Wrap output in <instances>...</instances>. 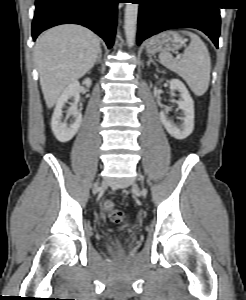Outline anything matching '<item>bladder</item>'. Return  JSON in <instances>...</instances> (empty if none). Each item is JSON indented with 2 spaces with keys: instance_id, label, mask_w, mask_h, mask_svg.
<instances>
[{
  "instance_id": "31cf9c89",
  "label": "bladder",
  "mask_w": 246,
  "mask_h": 300,
  "mask_svg": "<svg viewBox=\"0 0 246 300\" xmlns=\"http://www.w3.org/2000/svg\"><path fill=\"white\" fill-rule=\"evenodd\" d=\"M122 245V241L119 238H112L106 242V246L110 249L118 248Z\"/></svg>"
}]
</instances>
